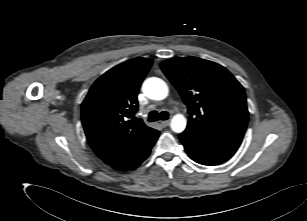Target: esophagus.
Segmentation results:
<instances>
[{
	"label": "esophagus",
	"mask_w": 307,
	"mask_h": 221,
	"mask_svg": "<svg viewBox=\"0 0 307 221\" xmlns=\"http://www.w3.org/2000/svg\"><path fill=\"white\" fill-rule=\"evenodd\" d=\"M169 123H170V121H169V120H166V121H161V122H160V125H161L162 127H166V126H168V125H169Z\"/></svg>",
	"instance_id": "obj_1"
}]
</instances>
